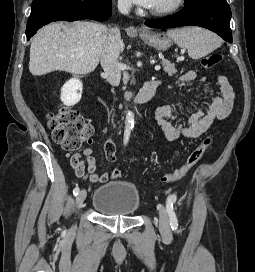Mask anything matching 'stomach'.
<instances>
[{"instance_id":"0dacf381","label":"stomach","mask_w":255,"mask_h":272,"mask_svg":"<svg viewBox=\"0 0 255 272\" xmlns=\"http://www.w3.org/2000/svg\"><path fill=\"white\" fill-rule=\"evenodd\" d=\"M140 38L149 46L158 50L165 51L170 48L172 44L171 38L165 33H157L149 31L147 33H140Z\"/></svg>"}]
</instances>
